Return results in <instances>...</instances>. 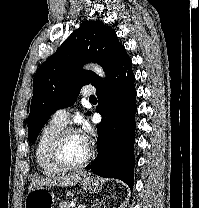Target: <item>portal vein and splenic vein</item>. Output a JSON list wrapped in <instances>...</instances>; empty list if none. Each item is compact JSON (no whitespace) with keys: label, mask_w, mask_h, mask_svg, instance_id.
<instances>
[{"label":"portal vein and splenic vein","mask_w":199,"mask_h":208,"mask_svg":"<svg viewBox=\"0 0 199 208\" xmlns=\"http://www.w3.org/2000/svg\"><path fill=\"white\" fill-rule=\"evenodd\" d=\"M86 206L85 205H79L78 207L76 208H85Z\"/></svg>","instance_id":"portal-vein-and-splenic-vein-1"}]
</instances>
